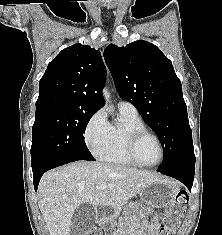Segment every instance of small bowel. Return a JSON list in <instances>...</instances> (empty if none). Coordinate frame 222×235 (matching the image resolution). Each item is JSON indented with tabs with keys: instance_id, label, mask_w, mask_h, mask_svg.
<instances>
[{
	"instance_id": "1",
	"label": "small bowel",
	"mask_w": 222,
	"mask_h": 235,
	"mask_svg": "<svg viewBox=\"0 0 222 235\" xmlns=\"http://www.w3.org/2000/svg\"><path fill=\"white\" fill-rule=\"evenodd\" d=\"M148 232H149V235H158L157 234V224L155 222H152L149 225ZM114 235H125V233L120 231V232L115 233Z\"/></svg>"
}]
</instances>
